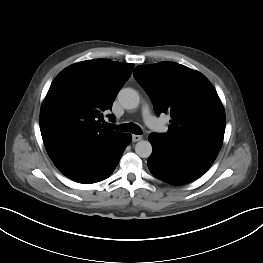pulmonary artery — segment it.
<instances>
[{
	"label": "pulmonary artery",
	"mask_w": 263,
	"mask_h": 263,
	"mask_svg": "<svg viewBox=\"0 0 263 263\" xmlns=\"http://www.w3.org/2000/svg\"><path fill=\"white\" fill-rule=\"evenodd\" d=\"M143 119L144 122L151 128H156L159 125L158 120L156 119V117L150 112L148 107H144L143 111Z\"/></svg>",
	"instance_id": "e3ab8cb5"
}]
</instances>
